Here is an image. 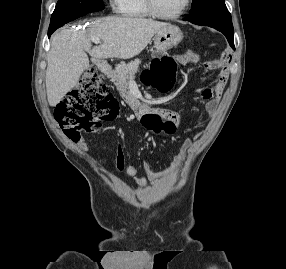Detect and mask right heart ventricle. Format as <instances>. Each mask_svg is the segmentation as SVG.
I'll list each match as a JSON object with an SVG mask.
<instances>
[{
  "label": "right heart ventricle",
  "mask_w": 286,
  "mask_h": 269,
  "mask_svg": "<svg viewBox=\"0 0 286 269\" xmlns=\"http://www.w3.org/2000/svg\"><path fill=\"white\" fill-rule=\"evenodd\" d=\"M117 11L120 15L132 19H144L150 17L144 0H117Z\"/></svg>",
  "instance_id": "obj_1"
}]
</instances>
